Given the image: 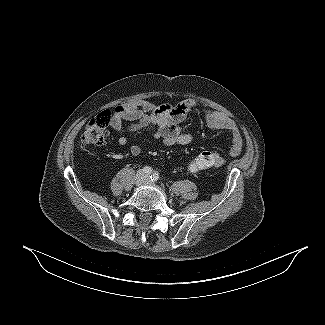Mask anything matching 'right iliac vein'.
<instances>
[{"label":"right iliac vein","mask_w":325,"mask_h":325,"mask_svg":"<svg viewBox=\"0 0 325 325\" xmlns=\"http://www.w3.org/2000/svg\"><path fill=\"white\" fill-rule=\"evenodd\" d=\"M144 181H145V177H144L143 171H138V173L136 174V177H135V184L139 186V185L143 184Z\"/></svg>","instance_id":"63e3f726"}]
</instances>
